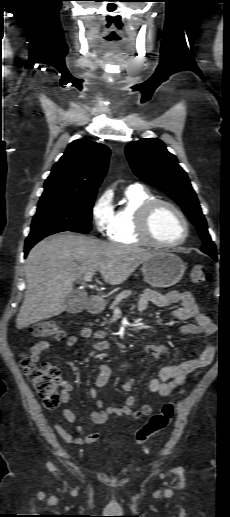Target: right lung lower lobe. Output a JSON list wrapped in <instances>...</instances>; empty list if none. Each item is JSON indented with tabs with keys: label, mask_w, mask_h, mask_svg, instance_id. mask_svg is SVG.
<instances>
[{
	"label": "right lung lower lobe",
	"mask_w": 230,
	"mask_h": 517,
	"mask_svg": "<svg viewBox=\"0 0 230 517\" xmlns=\"http://www.w3.org/2000/svg\"><path fill=\"white\" fill-rule=\"evenodd\" d=\"M58 232H62V231H58ZM58 232H51V233H47V234H44V235H39V236H35V237H28L26 239V243H25V257L27 256L29 250L37 243L39 242L40 240H42L43 238L51 235V234H54V233H58Z\"/></svg>",
	"instance_id": "right-lung-lower-lobe-1"
}]
</instances>
